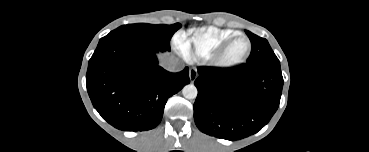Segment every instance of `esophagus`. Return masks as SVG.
Instances as JSON below:
<instances>
[{"mask_svg":"<svg viewBox=\"0 0 369 152\" xmlns=\"http://www.w3.org/2000/svg\"><path fill=\"white\" fill-rule=\"evenodd\" d=\"M197 76H198L197 69L195 67L190 68V70H189V78H190L191 82H194L195 79L197 78Z\"/></svg>","mask_w":369,"mask_h":152,"instance_id":"34e87169","label":"esophagus"}]
</instances>
